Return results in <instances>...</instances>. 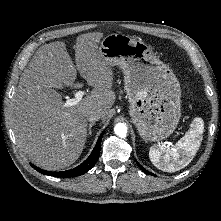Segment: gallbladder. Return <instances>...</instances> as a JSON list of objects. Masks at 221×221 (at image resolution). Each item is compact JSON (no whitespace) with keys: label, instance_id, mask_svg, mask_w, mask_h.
Here are the masks:
<instances>
[{"label":"gallbladder","instance_id":"bac80fb5","mask_svg":"<svg viewBox=\"0 0 221 221\" xmlns=\"http://www.w3.org/2000/svg\"><path fill=\"white\" fill-rule=\"evenodd\" d=\"M60 87H61V86H59V85L57 86V88H60Z\"/></svg>","mask_w":221,"mask_h":221}]
</instances>
